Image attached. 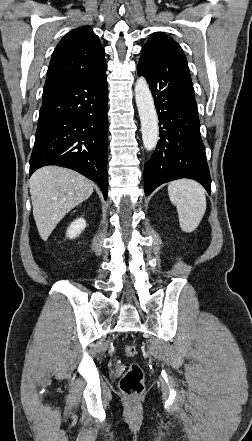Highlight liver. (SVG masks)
Listing matches in <instances>:
<instances>
[{
    "label": "liver",
    "mask_w": 252,
    "mask_h": 441,
    "mask_svg": "<svg viewBox=\"0 0 252 441\" xmlns=\"http://www.w3.org/2000/svg\"><path fill=\"white\" fill-rule=\"evenodd\" d=\"M33 216L42 240L46 241L60 220L93 193V184L67 168L46 166L29 180Z\"/></svg>",
    "instance_id": "liver-1"
}]
</instances>
